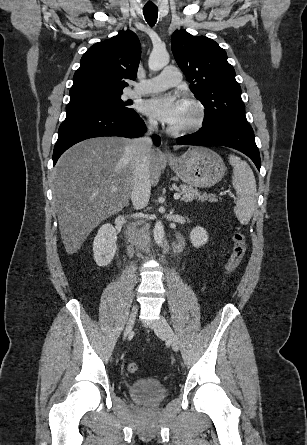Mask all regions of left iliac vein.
I'll return each mask as SVG.
<instances>
[{"mask_svg":"<svg viewBox=\"0 0 307 445\" xmlns=\"http://www.w3.org/2000/svg\"><path fill=\"white\" fill-rule=\"evenodd\" d=\"M154 331L158 336L166 338L171 344L174 351L177 352L179 350L178 337L163 316H161L160 319L156 322Z\"/></svg>","mask_w":307,"mask_h":445,"instance_id":"left-iliac-vein-1","label":"left iliac vein"}]
</instances>
